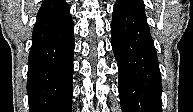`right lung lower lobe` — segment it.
Returning a JSON list of instances; mask_svg holds the SVG:
<instances>
[{"mask_svg":"<svg viewBox=\"0 0 193 112\" xmlns=\"http://www.w3.org/2000/svg\"><path fill=\"white\" fill-rule=\"evenodd\" d=\"M74 26L65 0L42 3L28 60L29 112H71Z\"/></svg>","mask_w":193,"mask_h":112,"instance_id":"98d812e1","label":"right lung lower lobe"}]
</instances>
